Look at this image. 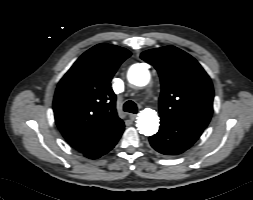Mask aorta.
Masks as SVG:
<instances>
[{"label": "aorta", "mask_w": 253, "mask_h": 200, "mask_svg": "<svg viewBox=\"0 0 253 200\" xmlns=\"http://www.w3.org/2000/svg\"><path fill=\"white\" fill-rule=\"evenodd\" d=\"M128 80L136 86H145L149 83L150 73L143 64H134L128 71ZM137 128L145 136L154 135L159 128V117L156 111L145 109L138 115Z\"/></svg>", "instance_id": "aorta-1"}]
</instances>
